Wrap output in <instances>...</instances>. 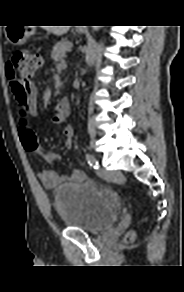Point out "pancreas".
Here are the masks:
<instances>
[{"label": "pancreas", "instance_id": "1", "mask_svg": "<svg viewBox=\"0 0 184 292\" xmlns=\"http://www.w3.org/2000/svg\"><path fill=\"white\" fill-rule=\"evenodd\" d=\"M72 47V43L67 41L58 42L55 44L52 50V59L59 62L64 57L65 53Z\"/></svg>", "mask_w": 184, "mask_h": 292}]
</instances>
